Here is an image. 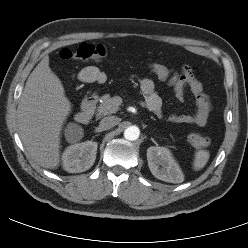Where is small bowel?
Returning a JSON list of instances; mask_svg holds the SVG:
<instances>
[{
	"label": "small bowel",
	"instance_id": "obj_1",
	"mask_svg": "<svg viewBox=\"0 0 248 248\" xmlns=\"http://www.w3.org/2000/svg\"><path fill=\"white\" fill-rule=\"evenodd\" d=\"M79 79L85 83L103 84L106 81V75L98 67L87 66L80 71ZM167 83L179 101L184 100L185 92L189 89L195 98L196 106V111L193 115L173 113L168 116V121L175 124L205 126L212 110V105L208 96L203 92L202 83L195 76L193 70L184 67L180 71L174 72ZM140 87L145 95L148 110L158 117H163L162 100L156 92L155 81L150 77H145L140 81Z\"/></svg>",
	"mask_w": 248,
	"mask_h": 248
}]
</instances>
